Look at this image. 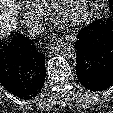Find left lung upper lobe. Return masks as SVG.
<instances>
[{
  "mask_svg": "<svg viewBox=\"0 0 113 113\" xmlns=\"http://www.w3.org/2000/svg\"><path fill=\"white\" fill-rule=\"evenodd\" d=\"M109 7H110V15H112V16H110V17H108V18H113V0H109Z\"/></svg>",
  "mask_w": 113,
  "mask_h": 113,
  "instance_id": "1",
  "label": "left lung upper lobe"
}]
</instances>
